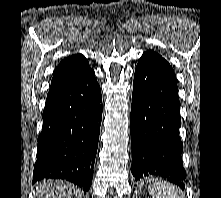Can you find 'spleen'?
Here are the masks:
<instances>
[{"label":"spleen","mask_w":221,"mask_h":198,"mask_svg":"<svg viewBox=\"0 0 221 198\" xmlns=\"http://www.w3.org/2000/svg\"><path fill=\"white\" fill-rule=\"evenodd\" d=\"M153 198H179L175 189L166 181H156L149 187Z\"/></svg>","instance_id":"spleen-1"}]
</instances>
